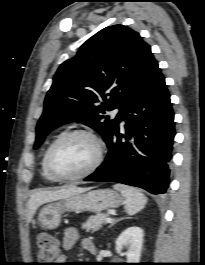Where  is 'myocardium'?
Segmentation results:
<instances>
[{"label": "myocardium", "instance_id": "1", "mask_svg": "<svg viewBox=\"0 0 205 265\" xmlns=\"http://www.w3.org/2000/svg\"><path fill=\"white\" fill-rule=\"evenodd\" d=\"M73 136H84L93 141V143L96 146V157L95 160L92 162V164L85 169L84 171L72 175V176H64L61 174H58L52 167L51 165V156L55 148L65 141L66 139L73 137ZM104 160V148L101 140L97 135H95L93 132L84 130V129H73L67 132L62 133L59 135L48 147L45 153V158H44V164L47 172L50 174L51 177H53L57 181H62V182H72V181H77L84 179L91 174H93L102 164Z\"/></svg>", "mask_w": 205, "mask_h": 265}]
</instances>
